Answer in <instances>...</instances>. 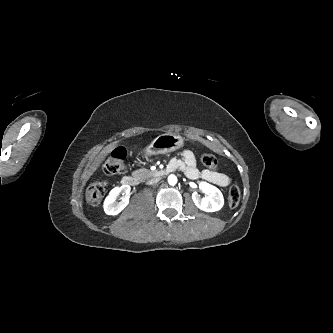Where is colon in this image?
<instances>
[{
    "label": "colon",
    "mask_w": 333,
    "mask_h": 333,
    "mask_svg": "<svg viewBox=\"0 0 333 333\" xmlns=\"http://www.w3.org/2000/svg\"><path fill=\"white\" fill-rule=\"evenodd\" d=\"M126 150L123 147L116 148L108 157L104 164V171L109 175L122 173L126 169ZM201 163L209 170L215 171L218 162L212 154L204 153L201 155ZM106 192V184L104 182H94L86 190V200L93 206L98 207ZM240 190L238 186L233 185L227 193L228 205L231 208L236 207L240 201Z\"/></svg>",
    "instance_id": "1"
}]
</instances>
